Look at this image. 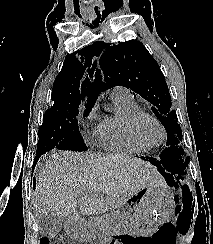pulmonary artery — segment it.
Returning a JSON list of instances; mask_svg holds the SVG:
<instances>
[{
    "label": "pulmonary artery",
    "instance_id": "obj_1",
    "mask_svg": "<svg viewBox=\"0 0 213 244\" xmlns=\"http://www.w3.org/2000/svg\"><path fill=\"white\" fill-rule=\"evenodd\" d=\"M111 98L115 97H125V98H130L132 97L130 91L122 86H116L111 89Z\"/></svg>",
    "mask_w": 213,
    "mask_h": 244
}]
</instances>
